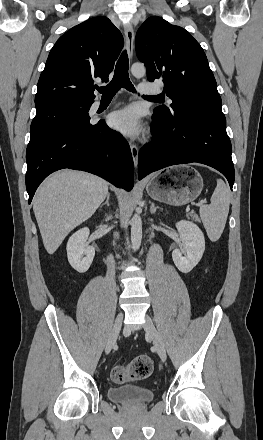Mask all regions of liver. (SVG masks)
<instances>
[{
    "instance_id": "6515ba94",
    "label": "liver",
    "mask_w": 263,
    "mask_h": 440,
    "mask_svg": "<svg viewBox=\"0 0 263 440\" xmlns=\"http://www.w3.org/2000/svg\"><path fill=\"white\" fill-rule=\"evenodd\" d=\"M107 194V181L81 171L61 170L46 179L33 200L46 251L53 254L75 227L95 213Z\"/></svg>"
}]
</instances>
